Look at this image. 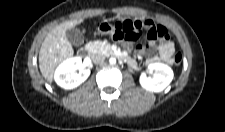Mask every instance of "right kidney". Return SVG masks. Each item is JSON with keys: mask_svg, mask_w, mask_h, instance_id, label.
I'll return each mask as SVG.
<instances>
[{"mask_svg": "<svg viewBox=\"0 0 225 132\" xmlns=\"http://www.w3.org/2000/svg\"><path fill=\"white\" fill-rule=\"evenodd\" d=\"M78 70V73L76 72ZM90 75V69L81 66V59L74 57L59 65L55 72L56 83L64 89H73L82 84Z\"/></svg>", "mask_w": 225, "mask_h": 132, "instance_id": "1", "label": "right kidney"}]
</instances>
